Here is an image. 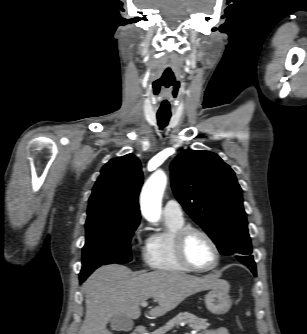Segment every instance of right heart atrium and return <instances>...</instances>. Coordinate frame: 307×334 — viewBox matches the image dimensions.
Returning a JSON list of instances; mask_svg holds the SVG:
<instances>
[{"instance_id":"1","label":"right heart atrium","mask_w":307,"mask_h":334,"mask_svg":"<svg viewBox=\"0 0 307 334\" xmlns=\"http://www.w3.org/2000/svg\"><path fill=\"white\" fill-rule=\"evenodd\" d=\"M145 228L144 224L142 222L138 223L136 227L133 230L132 233V240L137 244V245H143L147 243V240H143V234H144Z\"/></svg>"}]
</instances>
